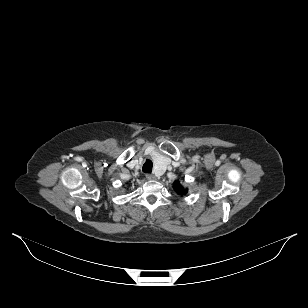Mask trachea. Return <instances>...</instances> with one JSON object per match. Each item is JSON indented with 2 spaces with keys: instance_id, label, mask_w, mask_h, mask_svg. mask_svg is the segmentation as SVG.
Masks as SVG:
<instances>
[{
  "instance_id": "obj_1",
  "label": "trachea",
  "mask_w": 308,
  "mask_h": 308,
  "mask_svg": "<svg viewBox=\"0 0 308 308\" xmlns=\"http://www.w3.org/2000/svg\"><path fill=\"white\" fill-rule=\"evenodd\" d=\"M153 163L151 160L147 159L143 165V172L151 173L152 172Z\"/></svg>"
}]
</instances>
